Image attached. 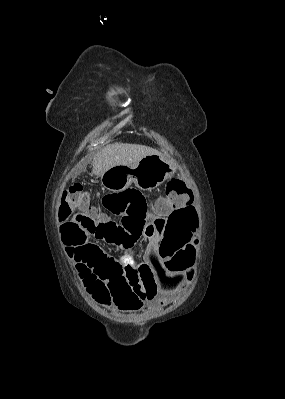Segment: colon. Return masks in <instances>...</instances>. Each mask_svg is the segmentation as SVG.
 Instances as JSON below:
<instances>
[{"instance_id": "1", "label": "colon", "mask_w": 285, "mask_h": 399, "mask_svg": "<svg viewBox=\"0 0 285 399\" xmlns=\"http://www.w3.org/2000/svg\"><path fill=\"white\" fill-rule=\"evenodd\" d=\"M189 189V185L184 181L172 179L166 183L165 196L158 199V206H172L174 210L169 220L159 225L163 234L173 224H181L191 219L190 207L177 202V198ZM101 208L121 215V219L106 221ZM58 216L62 222L63 241L76 245V252L84 261L83 265L75 268L82 288L88 293L97 292L105 300L107 290L110 289L123 306H136L138 300L150 299L158 293V277L185 270L190 265V261L184 255V241L166 239L157 247L150 262L137 265L138 277L131 282L118 284L103 271L102 261L105 254L101 248L90 243L94 240L104 242L125 252L126 258L129 259V252L144 235L148 225L147 202L133 191L106 194L102 197L100 205H97L91 201L84 186L76 182L62 192Z\"/></svg>"}]
</instances>
